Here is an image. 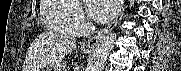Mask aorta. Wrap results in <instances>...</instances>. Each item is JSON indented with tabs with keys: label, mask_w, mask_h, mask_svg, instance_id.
I'll return each mask as SVG.
<instances>
[{
	"label": "aorta",
	"mask_w": 181,
	"mask_h": 71,
	"mask_svg": "<svg viewBox=\"0 0 181 71\" xmlns=\"http://www.w3.org/2000/svg\"><path fill=\"white\" fill-rule=\"evenodd\" d=\"M116 33L103 37L91 55L86 71H103L107 58L114 48Z\"/></svg>",
	"instance_id": "aorta-1"
}]
</instances>
